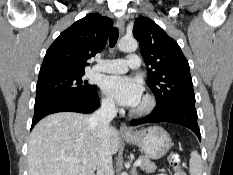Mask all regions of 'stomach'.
I'll list each match as a JSON object with an SVG mask.
<instances>
[{
  "label": "stomach",
  "mask_w": 233,
  "mask_h": 175,
  "mask_svg": "<svg viewBox=\"0 0 233 175\" xmlns=\"http://www.w3.org/2000/svg\"><path fill=\"white\" fill-rule=\"evenodd\" d=\"M123 138L137 145L147 158L154 160L162 158L172 145L170 135L159 126H150Z\"/></svg>",
  "instance_id": "1"
}]
</instances>
